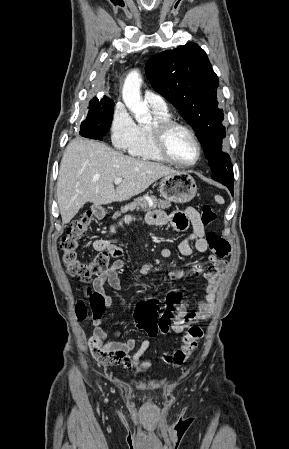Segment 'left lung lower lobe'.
I'll list each match as a JSON object with an SVG mask.
<instances>
[{"mask_svg":"<svg viewBox=\"0 0 289 449\" xmlns=\"http://www.w3.org/2000/svg\"><path fill=\"white\" fill-rule=\"evenodd\" d=\"M222 184L226 185L228 187V189L230 190L231 194L233 195V181L223 182Z\"/></svg>","mask_w":289,"mask_h":449,"instance_id":"1","label":"left lung lower lobe"}]
</instances>
